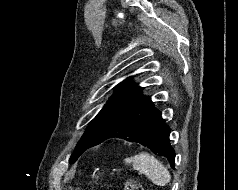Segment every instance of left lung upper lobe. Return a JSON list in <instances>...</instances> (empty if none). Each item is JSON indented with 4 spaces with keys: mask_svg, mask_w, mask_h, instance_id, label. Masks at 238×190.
I'll return each instance as SVG.
<instances>
[{
    "mask_svg": "<svg viewBox=\"0 0 238 190\" xmlns=\"http://www.w3.org/2000/svg\"><path fill=\"white\" fill-rule=\"evenodd\" d=\"M142 89L143 87L132 82L130 77L118 84L114 95L87 127L69 159L70 163L75 162L87 148L102 143L122 113L143 95Z\"/></svg>",
    "mask_w": 238,
    "mask_h": 190,
    "instance_id": "5c2ea615",
    "label": "left lung upper lobe"
}]
</instances>
